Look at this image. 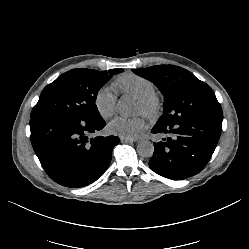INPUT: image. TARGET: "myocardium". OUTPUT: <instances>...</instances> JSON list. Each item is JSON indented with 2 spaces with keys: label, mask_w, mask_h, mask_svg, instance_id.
<instances>
[{
  "label": "myocardium",
  "mask_w": 249,
  "mask_h": 249,
  "mask_svg": "<svg viewBox=\"0 0 249 249\" xmlns=\"http://www.w3.org/2000/svg\"><path fill=\"white\" fill-rule=\"evenodd\" d=\"M141 105L143 115L151 122H156L162 115L164 105L156 94L138 98Z\"/></svg>",
  "instance_id": "1"
}]
</instances>
